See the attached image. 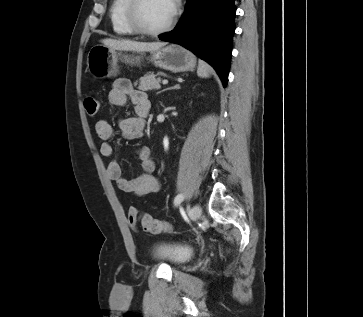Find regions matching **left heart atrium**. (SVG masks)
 I'll list each match as a JSON object with an SVG mask.
<instances>
[{
	"mask_svg": "<svg viewBox=\"0 0 363 317\" xmlns=\"http://www.w3.org/2000/svg\"><path fill=\"white\" fill-rule=\"evenodd\" d=\"M171 2H172V4L174 5V2H175V0H170Z\"/></svg>",
	"mask_w": 363,
	"mask_h": 317,
	"instance_id": "obj_1",
	"label": "left heart atrium"
}]
</instances>
